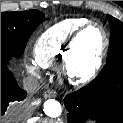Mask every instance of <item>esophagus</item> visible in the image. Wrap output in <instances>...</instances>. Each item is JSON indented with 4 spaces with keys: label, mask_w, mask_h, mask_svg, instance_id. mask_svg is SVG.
I'll use <instances>...</instances> for the list:
<instances>
[{
    "label": "esophagus",
    "mask_w": 123,
    "mask_h": 123,
    "mask_svg": "<svg viewBox=\"0 0 123 123\" xmlns=\"http://www.w3.org/2000/svg\"><path fill=\"white\" fill-rule=\"evenodd\" d=\"M43 96L45 99L54 98L57 96V93L54 90L49 89L44 92Z\"/></svg>",
    "instance_id": "34e87169"
}]
</instances>
